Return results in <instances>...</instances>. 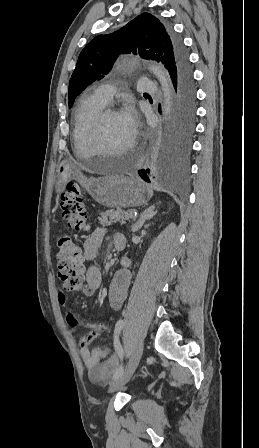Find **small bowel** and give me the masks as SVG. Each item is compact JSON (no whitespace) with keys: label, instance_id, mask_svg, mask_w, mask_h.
<instances>
[{"label":"small bowel","instance_id":"1","mask_svg":"<svg viewBox=\"0 0 259 448\" xmlns=\"http://www.w3.org/2000/svg\"><path fill=\"white\" fill-rule=\"evenodd\" d=\"M104 235L105 230L99 228L85 240L83 244V258L85 260L94 261L96 259ZM113 242L118 249L119 246L123 245L125 247L126 244L125 238L120 234L114 237ZM122 264L123 267L114 274L107 294L108 304L113 310H119L122 307L128 295L131 282V272L128 269L129 260L123 258ZM85 277L90 292H96L102 280L99 268L95 265L89 266L86 270ZM58 301L67 308L66 321L71 327L77 328L79 326H85L89 328V332L96 333L97 336L108 331V327L102 324L83 323L69 308L68 299L64 293L60 292L58 294ZM88 344L86 335L79 339L81 359L88 369L89 378L94 382L102 383L120 368V361L114 355L112 348L90 349Z\"/></svg>","mask_w":259,"mask_h":448}]
</instances>
